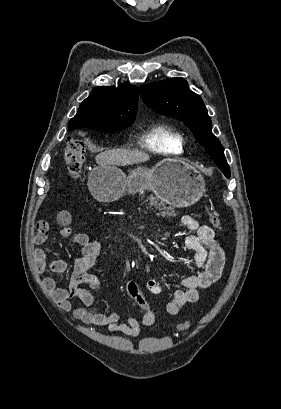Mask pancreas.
I'll use <instances>...</instances> for the list:
<instances>
[{
	"label": "pancreas",
	"mask_w": 281,
	"mask_h": 409,
	"mask_svg": "<svg viewBox=\"0 0 281 409\" xmlns=\"http://www.w3.org/2000/svg\"><path fill=\"white\" fill-rule=\"evenodd\" d=\"M148 200H151V202H158L157 198H155V196H152V194L148 196ZM160 207H162V209H159L160 215H162V217H173L172 213H170V211H172V207H165V205H160Z\"/></svg>",
	"instance_id": "1"
}]
</instances>
